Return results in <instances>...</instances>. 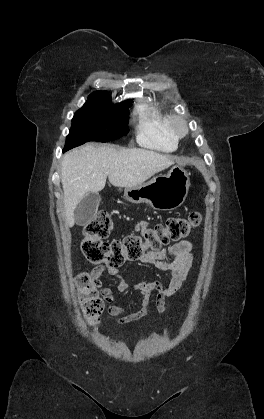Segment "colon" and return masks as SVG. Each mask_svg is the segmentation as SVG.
Returning <instances> with one entry per match:
<instances>
[{
	"instance_id": "1",
	"label": "colon",
	"mask_w": 264,
	"mask_h": 419,
	"mask_svg": "<svg viewBox=\"0 0 264 419\" xmlns=\"http://www.w3.org/2000/svg\"><path fill=\"white\" fill-rule=\"evenodd\" d=\"M200 221V214L192 212L186 217L169 218L141 235H128L122 240L108 242L104 239L111 231L112 222L107 213L101 212L85 225L80 248L90 263L118 269L127 260H139L147 252L158 251L170 241L186 237ZM77 288L85 316L92 325L97 324L104 309V300L89 274L79 275Z\"/></svg>"
}]
</instances>
